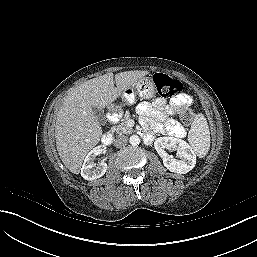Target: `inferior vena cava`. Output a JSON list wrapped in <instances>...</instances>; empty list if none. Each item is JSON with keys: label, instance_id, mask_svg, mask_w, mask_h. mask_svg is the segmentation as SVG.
Returning <instances> with one entry per match:
<instances>
[{"label": "inferior vena cava", "instance_id": "obj_1", "mask_svg": "<svg viewBox=\"0 0 257 257\" xmlns=\"http://www.w3.org/2000/svg\"><path fill=\"white\" fill-rule=\"evenodd\" d=\"M127 143H128V137L125 136V135H122V136L117 137V138L115 139V141H114V145H115L116 147H118V148L125 146Z\"/></svg>", "mask_w": 257, "mask_h": 257}]
</instances>
